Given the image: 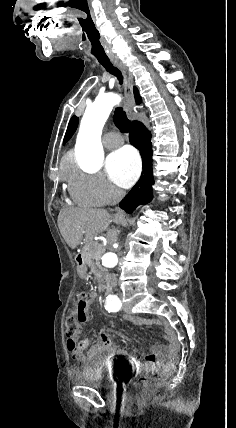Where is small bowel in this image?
Returning <instances> with one entry per match:
<instances>
[{"label": "small bowel", "instance_id": "small-bowel-1", "mask_svg": "<svg viewBox=\"0 0 236 428\" xmlns=\"http://www.w3.org/2000/svg\"><path fill=\"white\" fill-rule=\"evenodd\" d=\"M125 319L131 321L136 325H150L157 324L161 326L165 332V338L168 341L167 345H158L151 349V351L144 356L145 366L148 368H156L164 362L169 356L171 351L177 347V338L174 328L171 326L167 319L160 318L157 320H148L136 316H125ZM69 347V346H68ZM115 356L126 357L128 363L136 368L141 367V362L128 351L119 348L109 337L107 329H102L98 341L88 351L87 358L93 361L101 359H111ZM73 357L76 361L82 362L86 357L79 351L73 350Z\"/></svg>", "mask_w": 236, "mask_h": 428}]
</instances>
